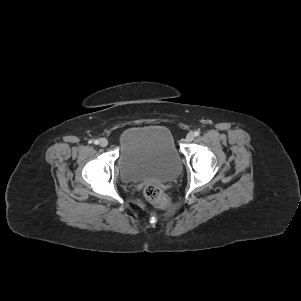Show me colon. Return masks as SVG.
<instances>
[{"label":"colon","instance_id":"5ec220e1","mask_svg":"<svg viewBox=\"0 0 301 301\" xmlns=\"http://www.w3.org/2000/svg\"><path fill=\"white\" fill-rule=\"evenodd\" d=\"M146 199L153 205L164 208L171 203V198L156 184L149 183L144 188Z\"/></svg>","mask_w":301,"mask_h":301}]
</instances>
